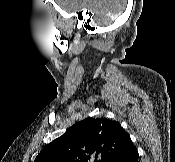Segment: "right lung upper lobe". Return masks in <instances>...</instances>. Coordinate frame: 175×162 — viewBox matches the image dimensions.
<instances>
[{"label":"right lung upper lobe","mask_w":175,"mask_h":162,"mask_svg":"<svg viewBox=\"0 0 175 162\" xmlns=\"http://www.w3.org/2000/svg\"><path fill=\"white\" fill-rule=\"evenodd\" d=\"M132 146L118 122L86 118L49 143L34 162H111Z\"/></svg>","instance_id":"right-lung-upper-lobe-1"}]
</instances>
